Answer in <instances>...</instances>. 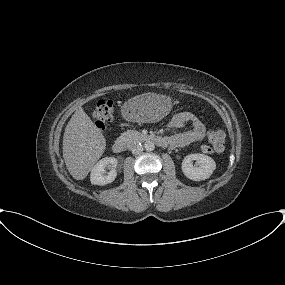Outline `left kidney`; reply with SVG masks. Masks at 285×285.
Instances as JSON below:
<instances>
[{
  "label": "left kidney",
  "mask_w": 285,
  "mask_h": 285,
  "mask_svg": "<svg viewBox=\"0 0 285 285\" xmlns=\"http://www.w3.org/2000/svg\"><path fill=\"white\" fill-rule=\"evenodd\" d=\"M196 161V167L193 161ZM182 171L184 175L193 180L201 181L208 179L216 169L215 161L204 154H189L182 161Z\"/></svg>",
  "instance_id": "1"
}]
</instances>
